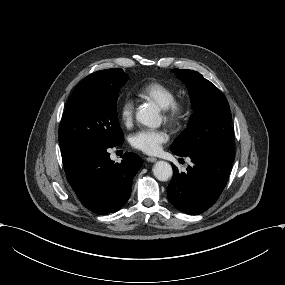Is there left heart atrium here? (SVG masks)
Listing matches in <instances>:
<instances>
[{
    "instance_id": "39dd6f15",
    "label": "left heart atrium",
    "mask_w": 285,
    "mask_h": 285,
    "mask_svg": "<svg viewBox=\"0 0 285 285\" xmlns=\"http://www.w3.org/2000/svg\"><path fill=\"white\" fill-rule=\"evenodd\" d=\"M167 140L168 133L164 129H143L132 135L131 144L145 153L153 154Z\"/></svg>"
}]
</instances>
